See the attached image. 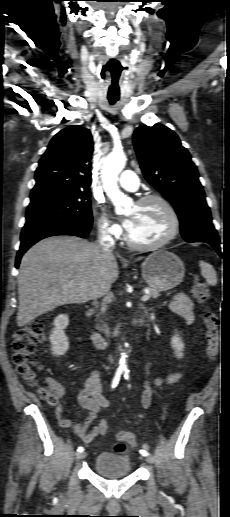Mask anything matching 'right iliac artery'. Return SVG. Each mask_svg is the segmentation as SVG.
<instances>
[{
    "mask_svg": "<svg viewBox=\"0 0 230 517\" xmlns=\"http://www.w3.org/2000/svg\"><path fill=\"white\" fill-rule=\"evenodd\" d=\"M121 374H122V371H117L116 374H115V377L112 381V388H115L120 380V377H121ZM78 452H83L84 451V448L82 446L78 447L77 449Z\"/></svg>",
    "mask_w": 230,
    "mask_h": 517,
    "instance_id": "obj_1",
    "label": "right iliac artery"
}]
</instances>
